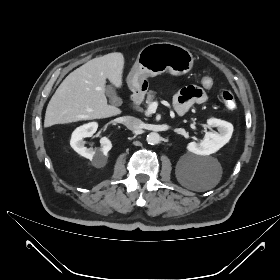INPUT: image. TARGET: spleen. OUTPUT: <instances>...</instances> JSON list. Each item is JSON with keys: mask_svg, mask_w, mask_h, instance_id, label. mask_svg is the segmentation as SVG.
<instances>
[{"mask_svg": "<svg viewBox=\"0 0 280 280\" xmlns=\"http://www.w3.org/2000/svg\"><path fill=\"white\" fill-rule=\"evenodd\" d=\"M217 183H218V180L215 182H212V183H208L203 188H204V190H209V189L213 188Z\"/></svg>", "mask_w": 280, "mask_h": 280, "instance_id": "1", "label": "spleen"}]
</instances>
